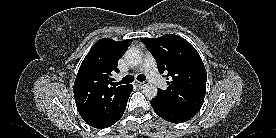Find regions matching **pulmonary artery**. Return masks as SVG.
Wrapping results in <instances>:
<instances>
[{"mask_svg":"<svg viewBox=\"0 0 276 138\" xmlns=\"http://www.w3.org/2000/svg\"><path fill=\"white\" fill-rule=\"evenodd\" d=\"M141 70H143L149 81L159 88H164L166 85L165 80L161 77L158 72L156 61L152 55L146 54L141 65Z\"/></svg>","mask_w":276,"mask_h":138,"instance_id":"pulmonary-artery-1","label":"pulmonary artery"}]
</instances>
